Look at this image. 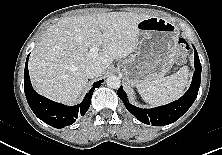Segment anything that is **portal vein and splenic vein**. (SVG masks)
Returning a JSON list of instances; mask_svg holds the SVG:
<instances>
[{
    "label": "portal vein and splenic vein",
    "instance_id": "18ae733b",
    "mask_svg": "<svg viewBox=\"0 0 222 155\" xmlns=\"http://www.w3.org/2000/svg\"><path fill=\"white\" fill-rule=\"evenodd\" d=\"M98 51H99L98 47H92L89 52L90 57L96 58L98 56Z\"/></svg>",
    "mask_w": 222,
    "mask_h": 155
}]
</instances>
